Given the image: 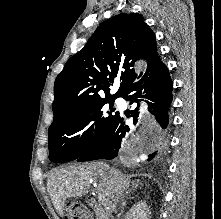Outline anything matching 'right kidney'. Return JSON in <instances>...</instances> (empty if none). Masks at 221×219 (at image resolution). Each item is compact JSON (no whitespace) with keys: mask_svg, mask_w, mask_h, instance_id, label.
I'll return each mask as SVG.
<instances>
[{"mask_svg":"<svg viewBox=\"0 0 221 219\" xmlns=\"http://www.w3.org/2000/svg\"><path fill=\"white\" fill-rule=\"evenodd\" d=\"M150 210L145 201H140L131 207L126 219H150Z\"/></svg>","mask_w":221,"mask_h":219,"instance_id":"ca27d5eb","label":"right kidney"}]
</instances>
